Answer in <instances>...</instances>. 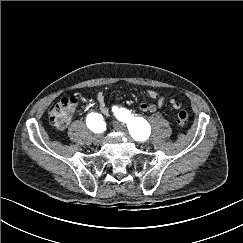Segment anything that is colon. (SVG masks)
Returning a JSON list of instances; mask_svg holds the SVG:
<instances>
[{
    "mask_svg": "<svg viewBox=\"0 0 243 243\" xmlns=\"http://www.w3.org/2000/svg\"><path fill=\"white\" fill-rule=\"evenodd\" d=\"M77 101L75 96H67L52 104L49 110V119L54 128L63 130L68 126L75 111ZM187 122V113L183 110L180 111L177 114V124L183 127Z\"/></svg>",
    "mask_w": 243,
    "mask_h": 243,
    "instance_id": "obj_1",
    "label": "colon"
}]
</instances>
